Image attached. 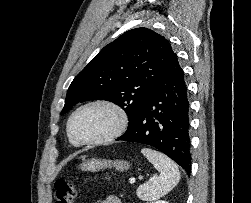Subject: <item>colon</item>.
I'll return each mask as SVG.
<instances>
[{
    "mask_svg": "<svg viewBox=\"0 0 251 203\" xmlns=\"http://www.w3.org/2000/svg\"><path fill=\"white\" fill-rule=\"evenodd\" d=\"M77 194L75 185L66 179L55 182V203H73Z\"/></svg>",
    "mask_w": 251,
    "mask_h": 203,
    "instance_id": "obj_1",
    "label": "colon"
}]
</instances>
